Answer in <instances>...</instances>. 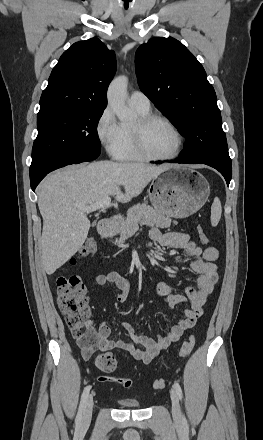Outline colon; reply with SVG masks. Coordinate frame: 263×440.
I'll use <instances>...</instances> for the list:
<instances>
[{"label": "colon", "instance_id": "1", "mask_svg": "<svg viewBox=\"0 0 263 440\" xmlns=\"http://www.w3.org/2000/svg\"><path fill=\"white\" fill-rule=\"evenodd\" d=\"M199 238L203 244L208 243V237L202 228L198 230ZM97 243L89 239L80 250V256L97 255ZM57 302L63 314L72 337L78 342L84 355L89 356L94 351L97 336L88 327L90 310L86 297V288L81 278L77 275H59L56 278ZM195 345V337L189 336L182 345L180 355L186 357L190 354ZM96 366L105 374L112 373L116 368V359L110 353H101L96 356ZM101 380L119 384L125 388L133 385L132 380L123 377L102 376ZM163 379L154 381V388L161 390L165 387Z\"/></svg>", "mask_w": 263, "mask_h": 440}]
</instances>
